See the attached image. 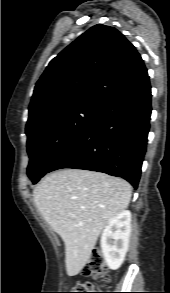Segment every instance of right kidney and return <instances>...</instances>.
Returning a JSON list of instances; mask_svg holds the SVG:
<instances>
[{
  "label": "right kidney",
  "instance_id": "ca27d5eb",
  "mask_svg": "<svg viewBox=\"0 0 170 293\" xmlns=\"http://www.w3.org/2000/svg\"><path fill=\"white\" fill-rule=\"evenodd\" d=\"M131 233V212L123 210L105 226L100 245L106 265L118 269L125 259Z\"/></svg>",
  "mask_w": 170,
  "mask_h": 293
}]
</instances>
